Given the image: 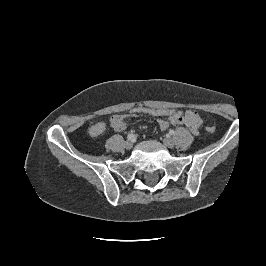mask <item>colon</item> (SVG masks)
I'll list each match as a JSON object with an SVG mask.
<instances>
[{
  "mask_svg": "<svg viewBox=\"0 0 266 266\" xmlns=\"http://www.w3.org/2000/svg\"><path fill=\"white\" fill-rule=\"evenodd\" d=\"M177 111L172 108H165V107H150V106H143L137 105L133 107L125 117H139L142 115H149L154 118H162V117H170L171 115L175 114ZM206 130L210 133L215 131L214 126H207Z\"/></svg>",
  "mask_w": 266,
  "mask_h": 266,
  "instance_id": "obj_1",
  "label": "colon"
}]
</instances>
